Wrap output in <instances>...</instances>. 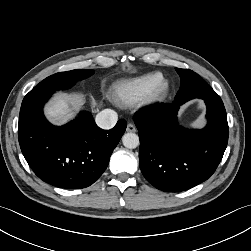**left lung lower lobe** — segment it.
I'll return each instance as SVG.
<instances>
[{"instance_id":"left-lung-lower-lobe-1","label":"left lung lower lobe","mask_w":251,"mask_h":251,"mask_svg":"<svg viewBox=\"0 0 251 251\" xmlns=\"http://www.w3.org/2000/svg\"><path fill=\"white\" fill-rule=\"evenodd\" d=\"M201 98L208 123L202 130H188L177 123L185 102ZM139 131L140 169L147 181L165 192L190 189L207 180L219 165L228 142L224 104L207 83L178 91L171 104L134 117Z\"/></svg>"}]
</instances>
